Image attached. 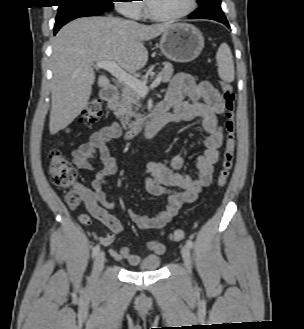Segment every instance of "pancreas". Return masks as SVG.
<instances>
[{
    "mask_svg": "<svg viewBox=\"0 0 304 329\" xmlns=\"http://www.w3.org/2000/svg\"><path fill=\"white\" fill-rule=\"evenodd\" d=\"M163 66L164 68L159 73V76H161V81L168 82L173 75V66L169 62H164ZM148 74L149 73L142 77V82H147ZM140 100V95L130 86L125 85L123 87L121 99L115 102L114 114L120 120L124 128H131L133 125L143 120L139 112L141 107ZM132 118H134L135 121H133Z\"/></svg>",
    "mask_w": 304,
    "mask_h": 329,
    "instance_id": "cf45deb5",
    "label": "pancreas"
}]
</instances>
